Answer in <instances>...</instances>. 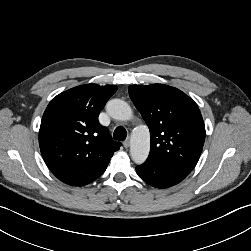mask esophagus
I'll use <instances>...</instances> for the list:
<instances>
[{
    "label": "esophagus",
    "instance_id": "obj_1",
    "mask_svg": "<svg viewBox=\"0 0 251 251\" xmlns=\"http://www.w3.org/2000/svg\"><path fill=\"white\" fill-rule=\"evenodd\" d=\"M123 146H124L125 148H128V147L130 146V140H129V139L125 140V141L123 142Z\"/></svg>",
    "mask_w": 251,
    "mask_h": 251
}]
</instances>
